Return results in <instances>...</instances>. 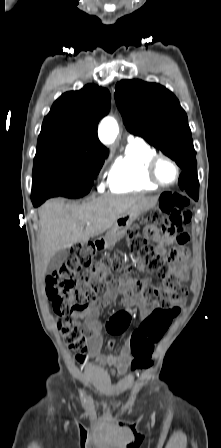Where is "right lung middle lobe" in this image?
<instances>
[{
	"mask_svg": "<svg viewBox=\"0 0 221 448\" xmlns=\"http://www.w3.org/2000/svg\"><path fill=\"white\" fill-rule=\"evenodd\" d=\"M107 155L72 146L37 149L32 191L68 198L82 197L91 190Z\"/></svg>",
	"mask_w": 221,
	"mask_h": 448,
	"instance_id": "right-lung-middle-lobe-1",
	"label": "right lung middle lobe"
}]
</instances>
